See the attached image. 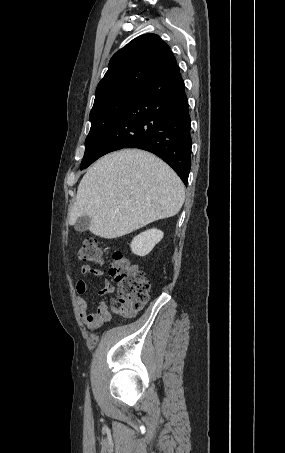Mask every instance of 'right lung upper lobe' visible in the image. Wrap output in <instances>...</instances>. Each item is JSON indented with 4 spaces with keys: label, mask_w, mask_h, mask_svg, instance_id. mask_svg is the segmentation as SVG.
<instances>
[{
    "label": "right lung upper lobe",
    "mask_w": 285,
    "mask_h": 453,
    "mask_svg": "<svg viewBox=\"0 0 285 453\" xmlns=\"http://www.w3.org/2000/svg\"><path fill=\"white\" fill-rule=\"evenodd\" d=\"M177 65L170 47L156 34L141 35L117 51L99 82L94 106L138 91L155 75Z\"/></svg>",
    "instance_id": "right-lung-upper-lobe-1"
}]
</instances>
